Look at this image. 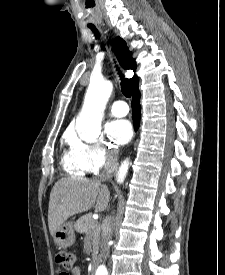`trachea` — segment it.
<instances>
[{
  "label": "trachea",
  "instance_id": "trachea-1",
  "mask_svg": "<svg viewBox=\"0 0 225 275\" xmlns=\"http://www.w3.org/2000/svg\"><path fill=\"white\" fill-rule=\"evenodd\" d=\"M90 29L96 34L97 37H99L98 30L95 27H90ZM121 91L128 98L132 95L131 84L128 79L124 78L123 75H121Z\"/></svg>",
  "mask_w": 225,
  "mask_h": 275
}]
</instances>
